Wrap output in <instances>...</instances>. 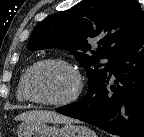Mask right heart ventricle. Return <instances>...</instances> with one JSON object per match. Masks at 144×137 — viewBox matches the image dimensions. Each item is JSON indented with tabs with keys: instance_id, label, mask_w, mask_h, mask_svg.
<instances>
[{
	"instance_id": "1",
	"label": "right heart ventricle",
	"mask_w": 144,
	"mask_h": 137,
	"mask_svg": "<svg viewBox=\"0 0 144 137\" xmlns=\"http://www.w3.org/2000/svg\"><path fill=\"white\" fill-rule=\"evenodd\" d=\"M24 78H25V73L21 76L19 84H18V88H17V99L21 102L29 101L23 88Z\"/></svg>"
}]
</instances>
